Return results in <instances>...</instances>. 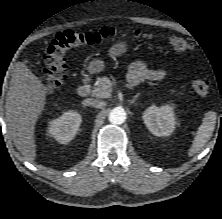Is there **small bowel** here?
Listing matches in <instances>:
<instances>
[{"mask_svg": "<svg viewBox=\"0 0 222 219\" xmlns=\"http://www.w3.org/2000/svg\"><path fill=\"white\" fill-rule=\"evenodd\" d=\"M166 75L164 69H151L141 60L133 62L128 68L127 78L130 84L138 85L144 81H159Z\"/></svg>", "mask_w": 222, "mask_h": 219, "instance_id": "1", "label": "small bowel"}]
</instances>
